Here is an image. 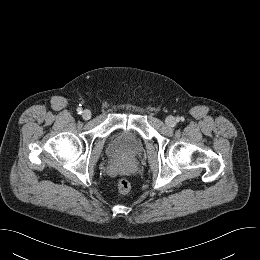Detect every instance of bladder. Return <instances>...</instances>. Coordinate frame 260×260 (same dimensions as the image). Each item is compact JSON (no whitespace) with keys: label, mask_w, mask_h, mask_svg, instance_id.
<instances>
[{"label":"bladder","mask_w":260,"mask_h":260,"mask_svg":"<svg viewBox=\"0 0 260 260\" xmlns=\"http://www.w3.org/2000/svg\"><path fill=\"white\" fill-rule=\"evenodd\" d=\"M109 150L117 156L135 157L143 150V141L140 136L128 131L116 136L109 145Z\"/></svg>","instance_id":"bladder-1"}]
</instances>
